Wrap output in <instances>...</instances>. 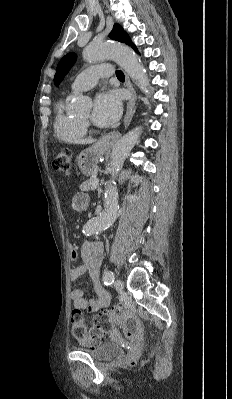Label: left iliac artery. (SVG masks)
<instances>
[{
    "instance_id": "obj_1",
    "label": "left iliac artery",
    "mask_w": 232,
    "mask_h": 399,
    "mask_svg": "<svg viewBox=\"0 0 232 399\" xmlns=\"http://www.w3.org/2000/svg\"><path fill=\"white\" fill-rule=\"evenodd\" d=\"M103 281L106 286H111L114 282V274L111 270H105L103 274Z\"/></svg>"
}]
</instances>
